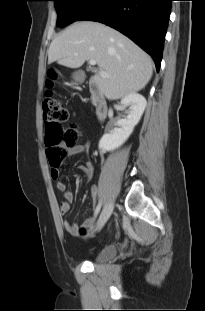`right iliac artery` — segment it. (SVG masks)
<instances>
[{"mask_svg":"<svg viewBox=\"0 0 205 311\" xmlns=\"http://www.w3.org/2000/svg\"><path fill=\"white\" fill-rule=\"evenodd\" d=\"M100 208H101V202L98 204V206L96 207V210H95V217L97 216L98 212L100 211Z\"/></svg>","mask_w":205,"mask_h":311,"instance_id":"82829eb1","label":"right iliac artery"}]
</instances>
